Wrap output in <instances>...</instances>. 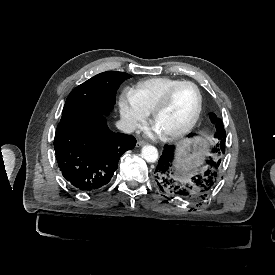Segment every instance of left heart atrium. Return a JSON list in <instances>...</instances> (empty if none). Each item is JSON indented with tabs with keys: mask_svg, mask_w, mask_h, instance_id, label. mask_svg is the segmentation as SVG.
<instances>
[{
	"mask_svg": "<svg viewBox=\"0 0 275 275\" xmlns=\"http://www.w3.org/2000/svg\"><path fill=\"white\" fill-rule=\"evenodd\" d=\"M154 134L161 135L162 133L158 129L155 128L154 133H150V135H154Z\"/></svg>",
	"mask_w": 275,
	"mask_h": 275,
	"instance_id": "39dd6f15",
	"label": "left heart atrium"
}]
</instances>
